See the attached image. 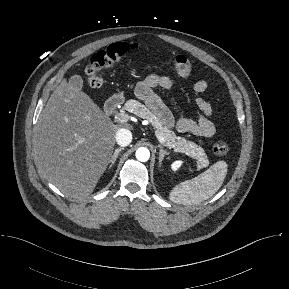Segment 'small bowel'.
Masks as SVG:
<instances>
[{
    "mask_svg": "<svg viewBox=\"0 0 289 289\" xmlns=\"http://www.w3.org/2000/svg\"><path fill=\"white\" fill-rule=\"evenodd\" d=\"M172 88L173 81L171 78L151 74L137 84L136 94L155 111L165 126H175L181 133H190L205 138L213 137L216 133L215 125L211 120L213 110L210 103L201 96L208 89V83L204 80H199L193 85L195 104L201 115L184 117L177 122H175L172 113L156 93V89L171 90Z\"/></svg>",
    "mask_w": 289,
    "mask_h": 289,
    "instance_id": "obj_1",
    "label": "small bowel"
}]
</instances>
